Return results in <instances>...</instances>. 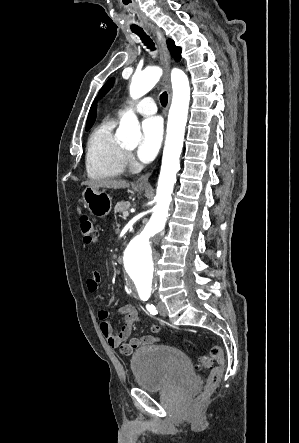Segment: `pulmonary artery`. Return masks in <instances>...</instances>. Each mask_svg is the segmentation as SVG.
<instances>
[{
	"label": "pulmonary artery",
	"instance_id": "obj_1",
	"mask_svg": "<svg viewBox=\"0 0 299 443\" xmlns=\"http://www.w3.org/2000/svg\"><path fill=\"white\" fill-rule=\"evenodd\" d=\"M134 110L142 115H152L156 113V105L152 98H144L133 106ZM122 110L119 111L121 113Z\"/></svg>",
	"mask_w": 299,
	"mask_h": 443
}]
</instances>
